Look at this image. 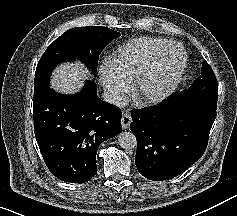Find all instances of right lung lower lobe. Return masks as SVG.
Returning a JSON list of instances; mask_svg holds the SVG:
<instances>
[{
    "mask_svg": "<svg viewBox=\"0 0 237 216\" xmlns=\"http://www.w3.org/2000/svg\"><path fill=\"white\" fill-rule=\"evenodd\" d=\"M87 81L75 95H62L49 86L34 95V132L51 173L65 182H88L97 174V148L122 132L121 110L97 96Z\"/></svg>",
    "mask_w": 237,
    "mask_h": 216,
    "instance_id": "right-lung-lower-lobe-1",
    "label": "right lung lower lobe"
}]
</instances>
